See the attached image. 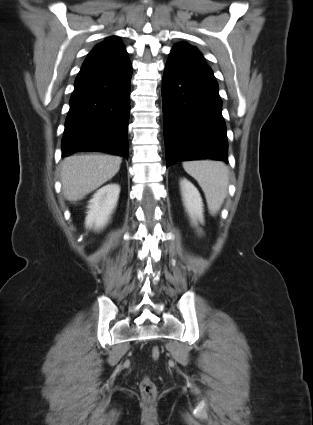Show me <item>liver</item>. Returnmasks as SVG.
<instances>
[{"mask_svg":"<svg viewBox=\"0 0 313 425\" xmlns=\"http://www.w3.org/2000/svg\"><path fill=\"white\" fill-rule=\"evenodd\" d=\"M121 162V157L103 154L65 158L61 166V183L65 198L70 202L82 200L114 177Z\"/></svg>","mask_w":313,"mask_h":425,"instance_id":"liver-1","label":"liver"}]
</instances>
